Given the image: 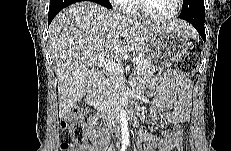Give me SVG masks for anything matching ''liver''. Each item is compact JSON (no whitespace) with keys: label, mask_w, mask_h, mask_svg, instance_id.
I'll list each match as a JSON object with an SVG mask.
<instances>
[{"label":"liver","mask_w":231,"mask_h":151,"mask_svg":"<svg viewBox=\"0 0 231 151\" xmlns=\"http://www.w3.org/2000/svg\"><path fill=\"white\" fill-rule=\"evenodd\" d=\"M195 34L185 21L141 23L91 1L64 8L48 29L50 54L58 79L59 115L65 116L98 81L96 57L119 62L131 51L144 52L150 40L166 26Z\"/></svg>","instance_id":"6515ba94"}]
</instances>
